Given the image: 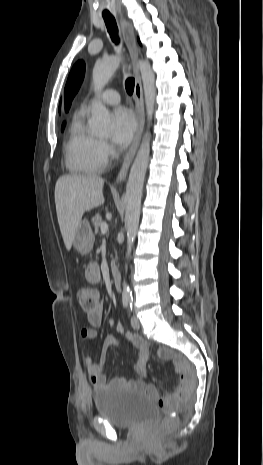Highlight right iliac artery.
<instances>
[{
    "label": "right iliac artery",
    "mask_w": 263,
    "mask_h": 465,
    "mask_svg": "<svg viewBox=\"0 0 263 465\" xmlns=\"http://www.w3.org/2000/svg\"><path fill=\"white\" fill-rule=\"evenodd\" d=\"M124 305L127 307V306H129L130 304H129L128 302H126V303H124Z\"/></svg>",
    "instance_id": "1"
}]
</instances>
